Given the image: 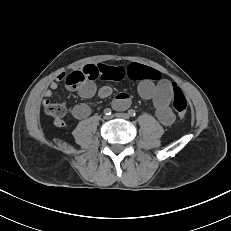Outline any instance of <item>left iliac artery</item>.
<instances>
[{
  "label": "left iliac artery",
  "instance_id": "obj_1",
  "mask_svg": "<svg viewBox=\"0 0 231 231\" xmlns=\"http://www.w3.org/2000/svg\"><path fill=\"white\" fill-rule=\"evenodd\" d=\"M128 114H129L131 117H134V116L136 115V112H135V110L130 109V110L128 111Z\"/></svg>",
  "mask_w": 231,
  "mask_h": 231
}]
</instances>
